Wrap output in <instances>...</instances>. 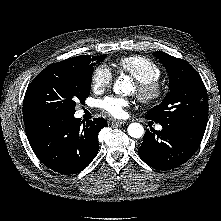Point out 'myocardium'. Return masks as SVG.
Returning <instances> with one entry per match:
<instances>
[{"mask_svg": "<svg viewBox=\"0 0 221 221\" xmlns=\"http://www.w3.org/2000/svg\"><path fill=\"white\" fill-rule=\"evenodd\" d=\"M165 94L164 87L158 82L138 83L137 98L144 105L158 103Z\"/></svg>", "mask_w": 221, "mask_h": 221, "instance_id": "myocardium-1", "label": "myocardium"}]
</instances>
